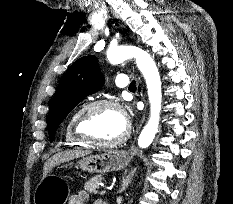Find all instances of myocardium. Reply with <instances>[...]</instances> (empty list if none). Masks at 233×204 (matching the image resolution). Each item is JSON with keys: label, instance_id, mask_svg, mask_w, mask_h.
Here are the masks:
<instances>
[{"label": "myocardium", "instance_id": "f54148a6", "mask_svg": "<svg viewBox=\"0 0 233 204\" xmlns=\"http://www.w3.org/2000/svg\"><path fill=\"white\" fill-rule=\"evenodd\" d=\"M103 107L116 109L123 116L125 115L122 106L114 100L100 99V100H95V101L89 102L88 104L84 105L75 115V118L73 121V133L79 140L86 143L87 145L104 147V148H112V147L119 146L120 144L124 143L130 135V126L128 124H126V128H125L124 133L119 138H117L115 140H111V141L95 140V139L89 137L83 131V123H84L86 117L92 111L99 109V108H103Z\"/></svg>", "mask_w": 233, "mask_h": 204}]
</instances>
